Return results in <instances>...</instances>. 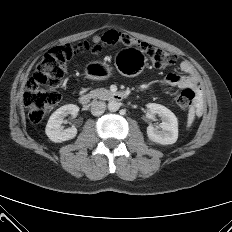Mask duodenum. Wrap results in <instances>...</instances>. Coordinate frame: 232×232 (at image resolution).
<instances>
[{"label":"duodenum","instance_id":"410a0bca","mask_svg":"<svg viewBox=\"0 0 232 232\" xmlns=\"http://www.w3.org/2000/svg\"><path fill=\"white\" fill-rule=\"evenodd\" d=\"M107 97L109 100L112 101H121L125 98V95L122 92L115 91V92H110L107 95ZM90 100H91V96L89 93H83L78 98L79 103L84 106L87 105L90 102Z\"/></svg>","mask_w":232,"mask_h":232}]
</instances>
